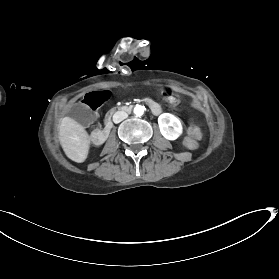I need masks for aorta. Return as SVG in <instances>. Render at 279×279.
<instances>
[{
	"mask_svg": "<svg viewBox=\"0 0 279 279\" xmlns=\"http://www.w3.org/2000/svg\"><path fill=\"white\" fill-rule=\"evenodd\" d=\"M144 110H145V107H144V106H142V105H136L135 108H134V113H135L137 116H141V115H143Z\"/></svg>",
	"mask_w": 279,
	"mask_h": 279,
	"instance_id": "762f6f07",
	"label": "aorta"
}]
</instances>
